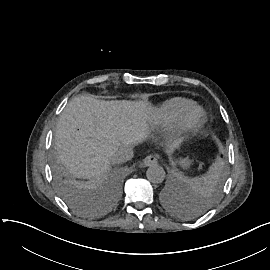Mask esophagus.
Listing matches in <instances>:
<instances>
[{"label": "esophagus", "instance_id": "1", "mask_svg": "<svg viewBox=\"0 0 270 270\" xmlns=\"http://www.w3.org/2000/svg\"><path fill=\"white\" fill-rule=\"evenodd\" d=\"M143 163L145 166H153L158 164V158L155 155H149L144 160Z\"/></svg>", "mask_w": 270, "mask_h": 270}]
</instances>
